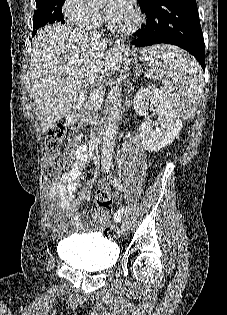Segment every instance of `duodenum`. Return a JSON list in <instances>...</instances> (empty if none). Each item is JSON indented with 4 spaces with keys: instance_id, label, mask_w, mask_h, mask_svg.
<instances>
[{
    "instance_id": "1",
    "label": "duodenum",
    "mask_w": 227,
    "mask_h": 315,
    "mask_svg": "<svg viewBox=\"0 0 227 315\" xmlns=\"http://www.w3.org/2000/svg\"><path fill=\"white\" fill-rule=\"evenodd\" d=\"M98 139H99V136H94V137L92 138V142H93V143H96V142L98 141Z\"/></svg>"
}]
</instances>
